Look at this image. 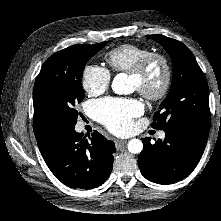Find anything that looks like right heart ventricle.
I'll list each match as a JSON object with an SVG mask.
<instances>
[{"label": "right heart ventricle", "mask_w": 221, "mask_h": 221, "mask_svg": "<svg viewBox=\"0 0 221 221\" xmlns=\"http://www.w3.org/2000/svg\"><path fill=\"white\" fill-rule=\"evenodd\" d=\"M149 52L148 48L122 44L108 51L104 58L110 73H129V71Z\"/></svg>", "instance_id": "obj_1"}]
</instances>
